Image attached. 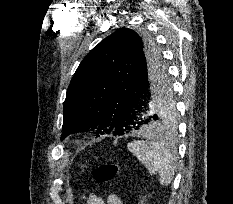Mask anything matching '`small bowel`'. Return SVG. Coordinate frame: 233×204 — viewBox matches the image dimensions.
Instances as JSON below:
<instances>
[{
  "mask_svg": "<svg viewBox=\"0 0 233 204\" xmlns=\"http://www.w3.org/2000/svg\"><path fill=\"white\" fill-rule=\"evenodd\" d=\"M87 204H123L122 200L114 194H111L106 201L101 197L90 195L87 198Z\"/></svg>",
  "mask_w": 233,
  "mask_h": 204,
  "instance_id": "c3829d8e",
  "label": "small bowel"
}]
</instances>
